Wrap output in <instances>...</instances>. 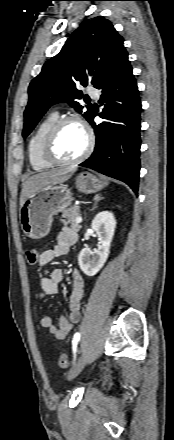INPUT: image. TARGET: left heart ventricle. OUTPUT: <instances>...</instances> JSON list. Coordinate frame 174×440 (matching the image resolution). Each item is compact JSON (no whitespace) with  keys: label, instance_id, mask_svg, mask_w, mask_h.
I'll return each mask as SVG.
<instances>
[{"label":"left heart ventricle","instance_id":"obj_1","mask_svg":"<svg viewBox=\"0 0 174 440\" xmlns=\"http://www.w3.org/2000/svg\"><path fill=\"white\" fill-rule=\"evenodd\" d=\"M86 144L87 136L83 128L77 123H67L58 133L55 153L60 159L72 160L84 151Z\"/></svg>","mask_w":174,"mask_h":440}]
</instances>
